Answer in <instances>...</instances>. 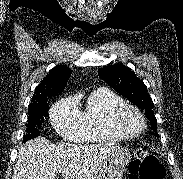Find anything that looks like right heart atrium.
Here are the masks:
<instances>
[{"label":"right heart atrium","mask_w":183,"mask_h":179,"mask_svg":"<svg viewBox=\"0 0 183 179\" xmlns=\"http://www.w3.org/2000/svg\"><path fill=\"white\" fill-rule=\"evenodd\" d=\"M51 122L64 138L78 139L82 132V117L76 98L67 97L57 102L51 109Z\"/></svg>","instance_id":"right-heart-atrium-1"}]
</instances>
